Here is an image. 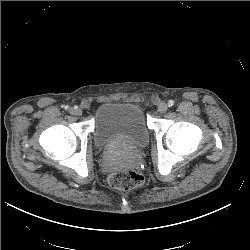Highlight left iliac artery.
<instances>
[{"mask_svg":"<svg viewBox=\"0 0 250 250\" xmlns=\"http://www.w3.org/2000/svg\"><path fill=\"white\" fill-rule=\"evenodd\" d=\"M174 103H175L174 100H169V101H168L169 107H172V106L174 105Z\"/></svg>","mask_w":250,"mask_h":250,"instance_id":"44dca946","label":"left iliac artery"}]
</instances>
